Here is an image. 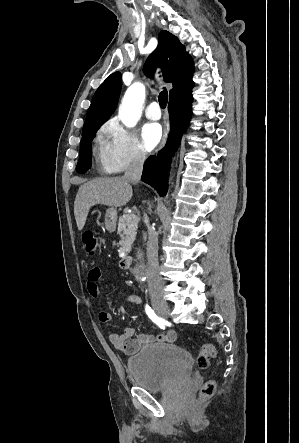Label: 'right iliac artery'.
Listing matches in <instances>:
<instances>
[{"label":"right iliac artery","instance_id":"obj_1","mask_svg":"<svg viewBox=\"0 0 299 443\" xmlns=\"http://www.w3.org/2000/svg\"><path fill=\"white\" fill-rule=\"evenodd\" d=\"M145 311L146 314L148 315V317L156 324L158 325L161 329H165V325H166V321L164 318L159 317L152 309L149 305L145 306Z\"/></svg>","mask_w":299,"mask_h":443}]
</instances>
